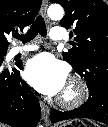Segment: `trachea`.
<instances>
[{"label": "trachea", "mask_w": 108, "mask_h": 127, "mask_svg": "<svg viewBox=\"0 0 108 127\" xmlns=\"http://www.w3.org/2000/svg\"><path fill=\"white\" fill-rule=\"evenodd\" d=\"M38 34L45 37L47 35L46 25L44 18L38 16L35 22L31 25L28 32L24 35L16 34L14 37L21 40L23 44L33 40Z\"/></svg>", "instance_id": "trachea-1"}]
</instances>
